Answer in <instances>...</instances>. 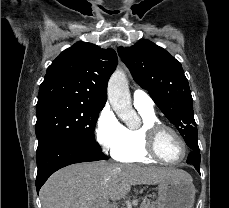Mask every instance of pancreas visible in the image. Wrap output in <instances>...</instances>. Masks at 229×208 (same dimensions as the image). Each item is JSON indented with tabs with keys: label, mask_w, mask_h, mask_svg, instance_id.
<instances>
[{
	"label": "pancreas",
	"mask_w": 229,
	"mask_h": 208,
	"mask_svg": "<svg viewBox=\"0 0 229 208\" xmlns=\"http://www.w3.org/2000/svg\"><path fill=\"white\" fill-rule=\"evenodd\" d=\"M140 208H156V204L155 202H152V200H144Z\"/></svg>",
	"instance_id": "pancreas-1"
}]
</instances>
